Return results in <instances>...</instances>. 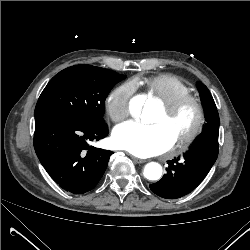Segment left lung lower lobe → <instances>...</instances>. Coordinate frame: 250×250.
<instances>
[{
	"label": "left lung lower lobe",
	"mask_w": 250,
	"mask_h": 250,
	"mask_svg": "<svg viewBox=\"0 0 250 250\" xmlns=\"http://www.w3.org/2000/svg\"><path fill=\"white\" fill-rule=\"evenodd\" d=\"M218 130L203 132L189 150L168 162L167 173L150 185L152 192L163 198L176 199L198 186L218 156Z\"/></svg>",
	"instance_id": "0a47b994"
}]
</instances>
